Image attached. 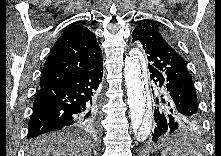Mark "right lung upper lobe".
Instances as JSON below:
<instances>
[{
    "label": "right lung upper lobe",
    "mask_w": 221,
    "mask_h": 156,
    "mask_svg": "<svg viewBox=\"0 0 221 156\" xmlns=\"http://www.w3.org/2000/svg\"><path fill=\"white\" fill-rule=\"evenodd\" d=\"M102 65V51L95 34L74 23L55 42L45 62L40 88L58 85Z\"/></svg>",
    "instance_id": "1"
}]
</instances>
